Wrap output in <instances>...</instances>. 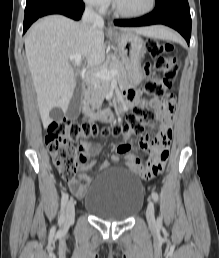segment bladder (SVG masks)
I'll list each match as a JSON object with an SVG mask.
<instances>
[{
    "label": "bladder",
    "instance_id": "obj_1",
    "mask_svg": "<svg viewBox=\"0 0 219 258\" xmlns=\"http://www.w3.org/2000/svg\"><path fill=\"white\" fill-rule=\"evenodd\" d=\"M144 186L132 171L110 169L93 178L83 199L92 215L107 221L131 218L142 206Z\"/></svg>",
    "mask_w": 219,
    "mask_h": 258
}]
</instances>
